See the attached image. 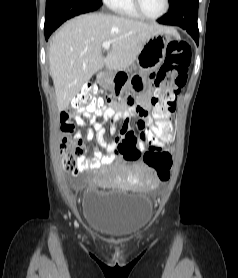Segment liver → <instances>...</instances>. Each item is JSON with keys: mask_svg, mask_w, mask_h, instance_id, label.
Listing matches in <instances>:
<instances>
[{"mask_svg": "<svg viewBox=\"0 0 238 278\" xmlns=\"http://www.w3.org/2000/svg\"><path fill=\"white\" fill-rule=\"evenodd\" d=\"M166 30L115 15L90 13L69 20L50 43L49 68L58 110L66 109L84 83L104 66L110 71L127 69L137 59L147 39ZM111 41L106 57L102 43Z\"/></svg>", "mask_w": 238, "mask_h": 278, "instance_id": "obj_1", "label": "liver"}]
</instances>
